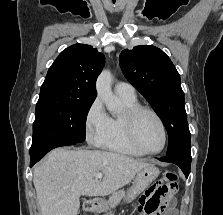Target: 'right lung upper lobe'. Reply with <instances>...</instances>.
Segmentation results:
<instances>
[{
    "label": "right lung upper lobe",
    "instance_id": "1",
    "mask_svg": "<svg viewBox=\"0 0 223 215\" xmlns=\"http://www.w3.org/2000/svg\"><path fill=\"white\" fill-rule=\"evenodd\" d=\"M104 64V55L92 46L74 44L66 48L49 68L40 98L93 102L96 79Z\"/></svg>",
    "mask_w": 223,
    "mask_h": 215
}]
</instances>
